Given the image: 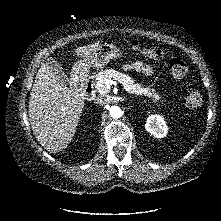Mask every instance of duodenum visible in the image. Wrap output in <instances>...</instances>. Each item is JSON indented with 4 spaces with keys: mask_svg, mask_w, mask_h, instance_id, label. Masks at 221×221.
<instances>
[{
    "mask_svg": "<svg viewBox=\"0 0 221 221\" xmlns=\"http://www.w3.org/2000/svg\"><path fill=\"white\" fill-rule=\"evenodd\" d=\"M83 95L86 99L91 100L95 96V91L91 83H86L83 88Z\"/></svg>",
    "mask_w": 221,
    "mask_h": 221,
    "instance_id": "410a0bca",
    "label": "duodenum"
}]
</instances>
